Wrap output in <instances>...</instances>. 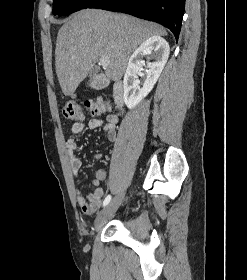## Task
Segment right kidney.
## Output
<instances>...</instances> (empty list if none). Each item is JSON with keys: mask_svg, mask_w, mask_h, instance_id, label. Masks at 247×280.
Returning <instances> with one entry per match:
<instances>
[{"mask_svg": "<svg viewBox=\"0 0 247 280\" xmlns=\"http://www.w3.org/2000/svg\"><path fill=\"white\" fill-rule=\"evenodd\" d=\"M170 53L168 42L161 36H152L141 43L131 55L124 75V102L129 109H133L144 99L156 84ZM143 57L153 62H147V77L140 88L137 73L145 66Z\"/></svg>", "mask_w": 247, "mask_h": 280, "instance_id": "ca27d5eb", "label": "right kidney"}]
</instances>
